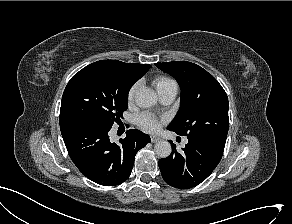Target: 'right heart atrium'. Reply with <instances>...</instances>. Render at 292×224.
<instances>
[{
	"instance_id": "1",
	"label": "right heart atrium",
	"mask_w": 292,
	"mask_h": 224,
	"mask_svg": "<svg viewBox=\"0 0 292 224\" xmlns=\"http://www.w3.org/2000/svg\"><path fill=\"white\" fill-rule=\"evenodd\" d=\"M138 88H139V83L136 82L129 89L128 94H127V100H128L129 103H131L134 100L135 95H136V93L138 91Z\"/></svg>"
}]
</instances>
